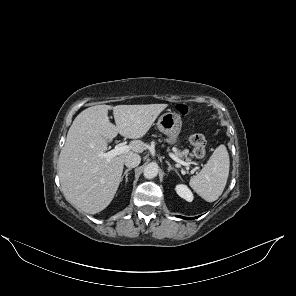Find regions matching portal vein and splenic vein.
Segmentation results:
<instances>
[{"mask_svg": "<svg viewBox=\"0 0 296 296\" xmlns=\"http://www.w3.org/2000/svg\"><path fill=\"white\" fill-rule=\"evenodd\" d=\"M130 148L127 145H122V144H117L114 149L108 151V152H99L98 156L105 158L107 161H110L112 158L129 152ZM170 157L176 161L177 163L186 166L189 168V164L187 162H184L183 160L179 159L177 156L174 154H170Z\"/></svg>", "mask_w": 296, "mask_h": 296, "instance_id": "portal-vein-and-splenic-vein-1", "label": "portal vein and splenic vein"}]
</instances>
